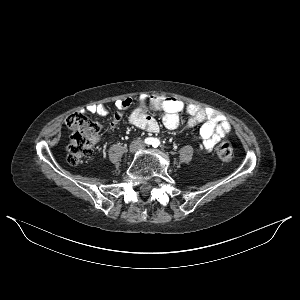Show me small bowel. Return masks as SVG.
<instances>
[{"instance_id":"obj_1","label":"small bowel","mask_w":300,"mask_h":300,"mask_svg":"<svg viewBox=\"0 0 300 300\" xmlns=\"http://www.w3.org/2000/svg\"><path fill=\"white\" fill-rule=\"evenodd\" d=\"M115 106L122 107V101H116ZM150 106L154 110L163 111L162 122L167 129H178L181 126L189 129L201 125L202 144L207 151H212L219 141L232 130L231 124L218 111L197 104H186L173 96H151ZM87 111L99 116L109 114V109L105 104L90 105ZM183 111L189 116L185 123H181L179 116ZM127 119L132 125L147 132L156 133L159 130L158 122L144 106L130 111Z\"/></svg>"}]
</instances>
